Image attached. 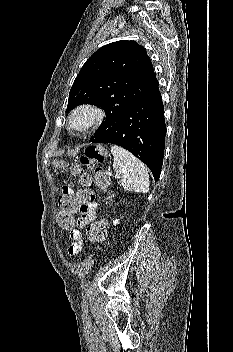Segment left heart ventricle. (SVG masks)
<instances>
[{"instance_id": "obj_1", "label": "left heart ventricle", "mask_w": 233, "mask_h": 352, "mask_svg": "<svg viewBox=\"0 0 233 352\" xmlns=\"http://www.w3.org/2000/svg\"><path fill=\"white\" fill-rule=\"evenodd\" d=\"M85 120V117L83 116V117H81L79 120H78V123H81V122H83Z\"/></svg>"}]
</instances>
